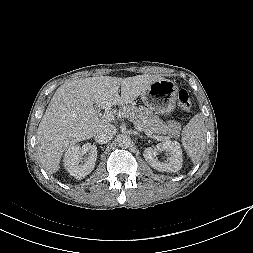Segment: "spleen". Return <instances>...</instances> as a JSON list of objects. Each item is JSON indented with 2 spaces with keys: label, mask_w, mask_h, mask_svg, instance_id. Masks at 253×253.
<instances>
[{
  "label": "spleen",
  "mask_w": 253,
  "mask_h": 253,
  "mask_svg": "<svg viewBox=\"0 0 253 253\" xmlns=\"http://www.w3.org/2000/svg\"><path fill=\"white\" fill-rule=\"evenodd\" d=\"M205 124L201 113L196 114L182 132V145L194 164L198 163L205 145Z\"/></svg>",
  "instance_id": "spleen-1"
}]
</instances>
